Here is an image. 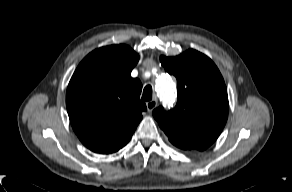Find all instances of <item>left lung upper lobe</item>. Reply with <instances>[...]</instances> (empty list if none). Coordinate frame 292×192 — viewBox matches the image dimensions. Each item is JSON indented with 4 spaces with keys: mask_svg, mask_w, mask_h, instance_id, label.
<instances>
[{
    "mask_svg": "<svg viewBox=\"0 0 292 192\" xmlns=\"http://www.w3.org/2000/svg\"><path fill=\"white\" fill-rule=\"evenodd\" d=\"M176 77L178 101L174 109L153 111L170 142L181 149L203 151L218 138L228 117V95L223 77L206 55L188 50L176 57H160Z\"/></svg>",
    "mask_w": 292,
    "mask_h": 192,
    "instance_id": "5c2ea615",
    "label": "left lung upper lobe"
}]
</instances>
